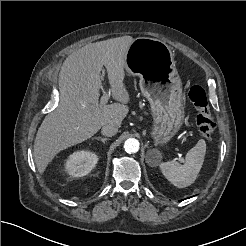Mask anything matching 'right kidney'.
<instances>
[{
    "label": "right kidney",
    "instance_id": "1",
    "mask_svg": "<svg viewBox=\"0 0 246 246\" xmlns=\"http://www.w3.org/2000/svg\"><path fill=\"white\" fill-rule=\"evenodd\" d=\"M98 156L88 150L72 153L65 162V171L73 177L87 175L96 165Z\"/></svg>",
    "mask_w": 246,
    "mask_h": 246
}]
</instances>
